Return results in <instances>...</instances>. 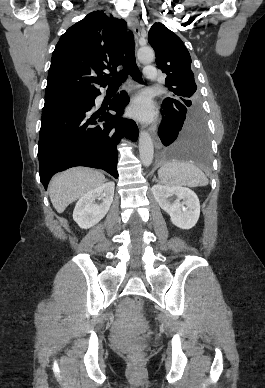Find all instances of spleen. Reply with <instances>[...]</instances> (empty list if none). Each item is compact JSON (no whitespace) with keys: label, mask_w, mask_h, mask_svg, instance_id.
I'll use <instances>...</instances> for the list:
<instances>
[{"label":"spleen","mask_w":265,"mask_h":388,"mask_svg":"<svg viewBox=\"0 0 265 388\" xmlns=\"http://www.w3.org/2000/svg\"><path fill=\"white\" fill-rule=\"evenodd\" d=\"M158 178L165 186L196 188V186H207L208 184L205 174L196 168L193 162H185V160L165 162L158 170Z\"/></svg>","instance_id":"3e777b00"}]
</instances>
